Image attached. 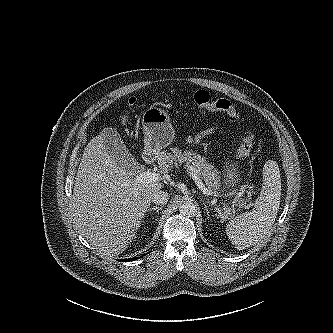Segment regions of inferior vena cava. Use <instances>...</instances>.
I'll use <instances>...</instances> for the list:
<instances>
[{
  "instance_id": "1",
  "label": "inferior vena cava",
  "mask_w": 333,
  "mask_h": 333,
  "mask_svg": "<svg viewBox=\"0 0 333 333\" xmlns=\"http://www.w3.org/2000/svg\"><path fill=\"white\" fill-rule=\"evenodd\" d=\"M169 200V194L164 191H156L152 194V201L158 205H165Z\"/></svg>"
}]
</instances>
